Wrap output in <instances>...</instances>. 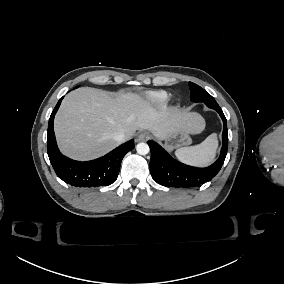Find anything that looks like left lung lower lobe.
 Wrapping results in <instances>:
<instances>
[{
	"label": "left lung lower lobe",
	"mask_w": 284,
	"mask_h": 284,
	"mask_svg": "<svg viewBox=\"0 0 284 284\" xmlns=\"http://www.w3.org/2000/svg\"><path fill=\"white\" fill-rule=\"evenodd\" d=\"M205 104L216 110L223 120V145L220 157L209 167H191L173 159L159 144L149 140L148 145L151 150L150 172L153 179L160 185L176 188L197 187L211 180L220 171L228 149L227 121L216 101L205 102Z\"/></svg>",
	"instance_id": "obj_1"
}]
</instances>
